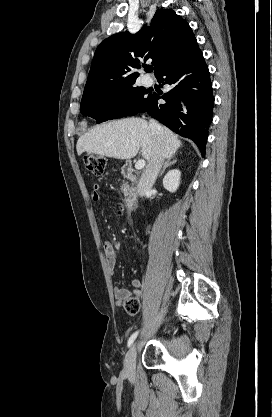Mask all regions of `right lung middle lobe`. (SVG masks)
<instances>
[{
  "label": "right lung middle lobe",
  "mask_w": 272,
  "mask_h": 417,
  "mask_svg": "<svg viewBox=\"0 0 272 417\" xmlns=\"http://www.w3.org/2000/svg\"><path fill=\"white\" fill-rule=\"evenodd\" d=\"M143 87L131 86L117 91L84 94L80 112L101 123L111 119L135 115L151 95Z\"/></svg>",
  "instance_id": "dd1d6c3e"
}]
</instances>
